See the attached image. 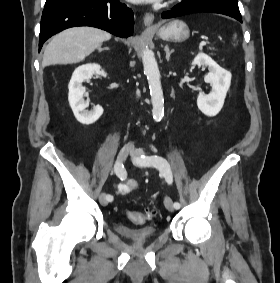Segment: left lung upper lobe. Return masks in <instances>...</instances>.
Returning a JSON list of instances; mask_svg holds the SVG:
<instances>
[{"mask_svg":"<svg viewBox=\"0 0 280 283\" xmlns=\"http://www.w3.org/2000/svg\"><path fill=\"white\" fill-rule=\"evenodd\" d=\"M187 1H205L210 2L214 4H218L221 6H224L226 8H229L236 13L240 14L239 7H238V0H187Z\"/></svg>","mask_w":280,"mask_h":283,"instance_id":"5c2ea615","label":"left lung upper lobe"}]
</instances>
